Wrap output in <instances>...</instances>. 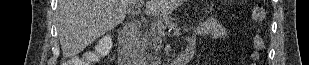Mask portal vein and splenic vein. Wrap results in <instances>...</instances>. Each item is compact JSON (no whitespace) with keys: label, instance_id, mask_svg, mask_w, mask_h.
<instances>
[{"label":"portal vein and splenic vein","instance_id":"1","mask_svg":"<svg viewBox=\"0 0 309 65\" xmlns=\"http://www.w3.org/2000/svg\"><path fill=\"white\" fill-rule=\"evenodd\" d=\"M142 6V4H138L136 5L137 7V11H135L136 14L140 13V7ZM152 15H154V13H152ZM153 24L160 30L165 29V25L161 23V21L153 19L152 20Z\"/></svg>","mask_w":309,"mask_h":65}]
</instances>
